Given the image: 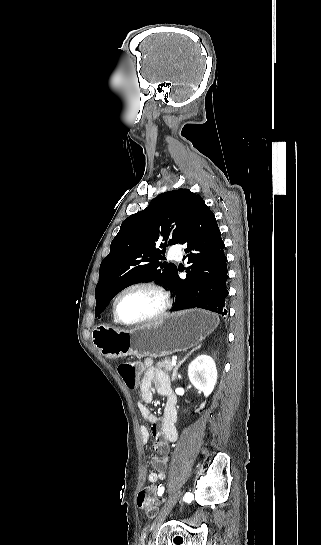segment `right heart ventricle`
Returning <instances> with one entry per match:
<instances>
[{
    "mask_svg": "<svg viewBox=\"0 0 321 545\" xmlns=\"http://www.w3.org/2000/svg\"><path fill=\"white\" fill-rule=\"evenodd\" d=\"M112 319H113V322H114L115 324H117V321L115 320L114 315H112Z\"/></svg>",
    "mask_w": 321,
    "mask_h": 545,
    "instance_id": "1",
    "label": "right heart ventricle"
}]
</instances>
